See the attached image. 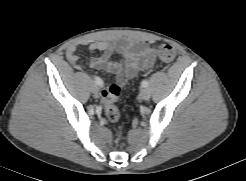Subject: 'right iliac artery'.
I'll list each match as a JSON object with an SVG mask.
<instances>
[{"mask_svg":"<svg viewBox=\"0 0 246 181\" xmlns=\"http://www.w3.org/2000/svg\"><path fill=\"white\" fill-rule=\"evenodd\" d=\"M94 79H95V83L98 86H102L103 85V81L98 76H96Z\"/></svg>","mask_w":246,"mask_h":181,"instance_id":"82829eb1","label":"right iliac artery"}]
</instances>
